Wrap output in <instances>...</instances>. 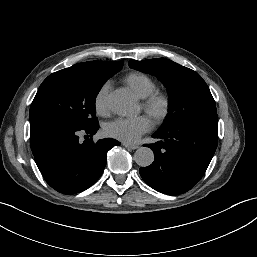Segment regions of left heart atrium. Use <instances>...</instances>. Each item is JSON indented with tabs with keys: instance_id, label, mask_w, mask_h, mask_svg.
Segmentation results:
<instances>
[{
	"instance_id": "1",
	"label": "left heart atrium",
	"mask_w": 257,
	"mask_h": 257,
	"mask_svg": "<svg viewBox=\"0 0 257 257\" xmlns=\"http://www.w3.org/2000/svg\"><path fill=\"white\" fill-rule=\"evenodd\" d=\"M154 122L148 115H141L135 118H117L108 122L104 131L111 138L124 143L132 144L153 129Z\"/></svg>"
}]
</instances>
